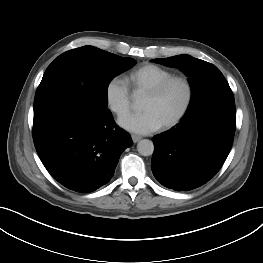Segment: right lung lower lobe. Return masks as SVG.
Masks as SVG:
<instances>
[{"mask_svg": "<svg viewBox=\"0 0 263 263\" xmlns=\"http://www.w3.org/2000/svg\"><path fill=\"white\" fill-rule=\"evenodd\" d=\"M33 140L50 175L80 193L108 183L120 155L133 144L110 111L96 112L76 102L34 110Z\"/></svg>", "mask_w": 263, "mask_h": 263, "instance_id": "right-lung-lower-lobe-1", "label": "right lung lower lobe"}]
</instances>
